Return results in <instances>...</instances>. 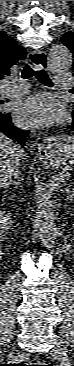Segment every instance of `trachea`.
Returning a JSON list of instances; mask_svg holds the SVG:
<instances>
[{
  "label": "trachea",
  "mask_w": 74,
  "mask_h": 366,
  "mask_svg": "<svg viewBox=\"0 0 74 366\" xmlns=\"http://www.w3.org/2000/svg\"><path fill=\"white\" fill-rule=\"evenodd\" d=\"M33 76H35L44 85H47L50 87L53 86V83L45 70H43V69L37 70V69H34L33 67H31L29 64H26L25 67L23 68L21 77L23 79H29Z\"/></svg>",
  "instance_id": "1"
}]
</instances>
